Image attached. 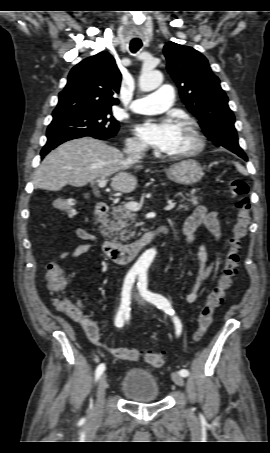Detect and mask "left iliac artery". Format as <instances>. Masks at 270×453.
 <instances>
[{
    "label": "left iliac artery",
    "mask_w": 270,
    "mask_h": 453,
    "mask_svg": "<svg viewBox=\"0 0 270 453\" xmlns=\"http://www.w3.org/2000/svg\"><path fill=\"white\" fill-rule=\"evenodd\" d=\"M138 289L140 294L150 303L157 306L159 309H162L167 314L173 316V320L176 327V334L179 336L182 330V325L180 320L174 316V310L171 307L170 302L160 294L152 293L147 289V275L144 272L139 273L138 278ZM179 374L183 377L188 376L189 372L186 369H181Z\"/></svg>",
    "instance_id": "obj_1"
}]
</instances>
